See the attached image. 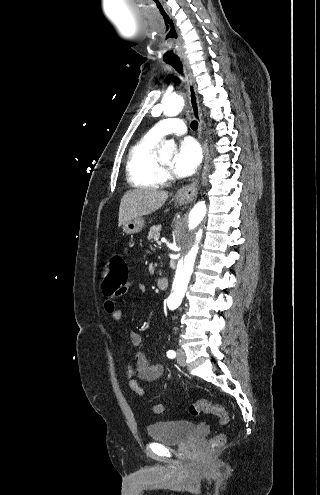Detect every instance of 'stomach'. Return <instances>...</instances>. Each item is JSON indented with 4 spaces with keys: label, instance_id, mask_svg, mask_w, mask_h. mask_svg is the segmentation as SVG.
I'll return each instance as SVG.
<instances>
[{
    "label": "stomach",
    "instance_id": "obj_1",
    "mask_svg": "<svg viewBox=\"0 0 320 495\" xmlns=\"http://www.w3.org/2000/svg\"><path fill=\"white\" fill-rule=\"evenodd\" d=\"M180 203H183L182 201H179ZM145 225V221L142 217H136L134 219H131L123 224V231L126 234H136L139 233Z\"/></svg>",
    "mask_w": 320,
    "mask_h": 495
}]
</instances>
